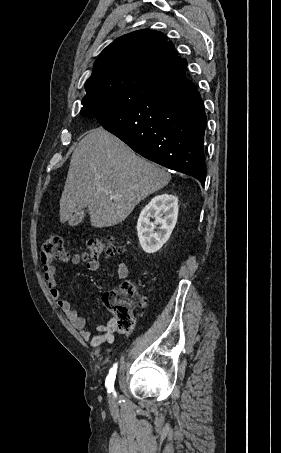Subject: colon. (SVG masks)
<instances>
[{"mask_svg":"<svg viewBox=\"0 0 281 453\" xmlns=\"http://www.w3.org/2000/svg\"><path fill=\"white\" fill-rule=\"evenodd\" d=\"M86 245V249L76 251L70 255L65 248L63 235L52 233L44 242L41 261L73 260L77 262H96L103 255L120 257L128 254L126 247L101 239H88ZM120 286L126 297L133 298L136 295V285L132 281L123 280ZM143 308V303L117 307L115 314L119 330L130 331L133 328V313L135 311L140 312Z\"/></svg>","mask_w":281,"mask_h":453,"instance_id":"colon-1","label":"colon"}]
</instances>
